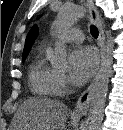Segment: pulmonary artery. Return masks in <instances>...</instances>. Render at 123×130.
I'll return each mask as SVG.
<instances>
[{
  "mask_svg": "<svg viewBox=\"0 0 123 130\" xmlns=\"http://www.w3.org/2000/svg\"><path fill=\"white\" fill-rule=\"evenodd\" d=\"M84 39L83 32L78 28H71L65 31L62 40L64 42L80 43Z\"/></svg>",
  "mask_w": 123,
  "mask_h": 130,
  "instance_id": "obj_1",
  "label": "pulmonary artery"
}]
</instances>
